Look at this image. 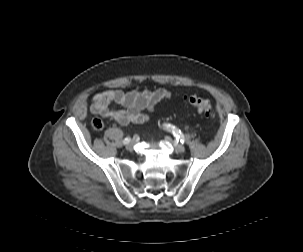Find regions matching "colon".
I'll return each mask as SVG.
<instances>
[{
    "instance_id": "5ec220e1",
    "label": "colon",
    "mask_w": 303,
    "mask_h": 252,
    "mask_svg": "<svg viewBox=\"0 0 303 252\" xmlns=\"http://www.w3.org/2000/svg\"><path fill=\"white\" fill-rule=\"evenodd\" d=\"M183 100L194 106L198 112L203 113L207 116H213L214 115V109L211 103L203 98L197 97L196 95H185L183 97ZM92 126L95 130L99 131L103 128V122L100 119H94L92 121Z\"/></svg>"
}]
</instances>
